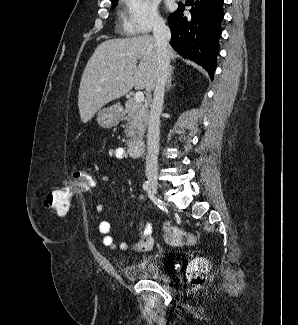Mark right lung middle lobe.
<instances>
[{
	"label": "right lung middle lobe",
	"mask_w": 298,
	"mask_h": 325,
	"mask_svg": "<svg viewBox=\"0 0 298 325\" xmlns=\"http://www.w3.org/2000/svg\"><path fill=\"white\" fill-rule=\"evenodd\" d=\"M117 5V2L112 3V7H115Z\"/></svg>",
	"instance_id": "dd1d6c3e"
}]
</instances>
